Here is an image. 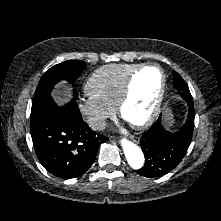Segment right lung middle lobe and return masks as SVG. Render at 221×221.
Masks as SVG:
<instances>
[{
    "label": "right lung middle lobe",
    "instance_id": "right-lung-middle-lobe-1",
    "mask_svg": "<svg viewBox=\"0 0 221 221\" xmlns=\"http://www.w3.org/2000/svg\"><path fill=\"white\" fill-rule=\"evenodd\" d=\"M85 67L86 63L79 60H67L51 67L39 81L32 101V108L50 97V92L57 82L67 80L72 83L79 77Z\"/></svg>",
    "mask_w": 221,
    "mask_h": 221
}]
</instances>
